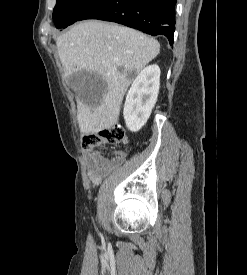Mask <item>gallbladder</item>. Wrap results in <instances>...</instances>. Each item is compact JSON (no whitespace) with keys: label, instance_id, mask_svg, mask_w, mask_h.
<instances>
[{"label":"gallbladder","instance_id":"gallbladder-1","mask_svg":"<svg viewBox=\"0 0 247 275\" xmlns=\"http://www.w3.org/2000/svg\"><path fill=\"white\" fill-rule=\"evenodd\" d=\"M67 79L69 86L83 101H87L97 92L103 94L105 91L104 81L93 72L80 71L70 75Z\"/></svg>","mask_w":247,"mask_h":275}]
</instances>
